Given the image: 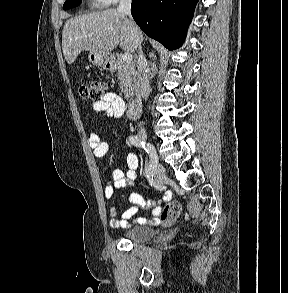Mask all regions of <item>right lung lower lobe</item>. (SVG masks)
Segmentation results:
<instances>
[{
    "label": "right lung lower lobe",
    "mask_w": 288,
    "mask_h": 293,
    "mask_svg": "<svg viewBox=\"0 0 288 293\" xmlns=\"http://www.w3.org/2000/svg\"><path fill=\"white\" fill-rule=\"evenodd\" d=\"M198 0H132L131 13L139 27L169 50L186 37Z\"/></svg>",
    "instance_id": "98d812e1"
}]
</instances>
